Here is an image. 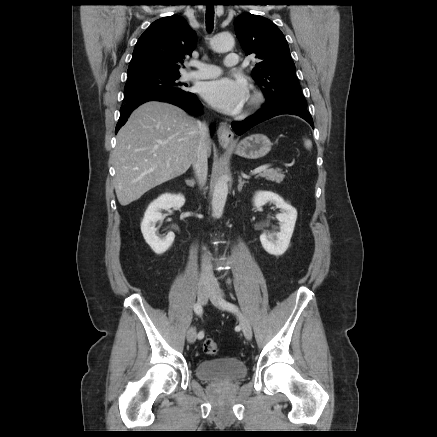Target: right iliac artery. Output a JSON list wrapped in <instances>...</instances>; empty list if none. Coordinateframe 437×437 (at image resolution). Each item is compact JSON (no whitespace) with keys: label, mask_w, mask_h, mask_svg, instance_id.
I'll list each match as a JSON object with an SVG mask.
<instances>
[{"label":"right iliac artery","mask_w":437,"mask_h":437,"mask_svg":"<svg viewBox=\"0 0 437 437\" xmlns=\"http://www.w3.org/2000/svg\"><path fill=\"white\" fill-rule=\"evenodd\" d=\"M194 311H195V313H196L198 316H201V315H202V313H203V309H202V306H201L200 303H196V304L194 305ZM197 337H198V339H202V338L204 337V332H203V331H200V332L198 333Z\"/></svg>","instance_id":"1"}]
</instances>
